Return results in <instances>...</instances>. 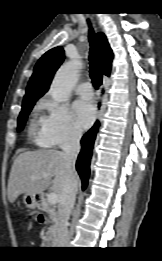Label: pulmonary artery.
I'll return each instance as SVG.
<instances>
[{"instance_id": "pulmonary-artery-1", "label": "pulmonary artery", "mask_w": 162, "mask_h": 261, "mask_svg": "<svg viewBox=\"0 0 162 261\" xmlns=\"http://www.w3.org/2000/svg\"><path fill=\"white\" fill-rule=\"evenodd\" d=\"M77 93L82 98H91L94 94L91 83L89 82L81 83L77 88Z\"/></svg>"}]
</instances>
